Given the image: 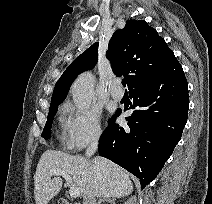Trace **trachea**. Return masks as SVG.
<instances>
[{"label":"trachea","instance_id":"1","mask_svg":"<svg viewBox=\"0 0 212 204\" xmlns=\"http://www.w3.org/2000/svg\"><path fill=\"white\" fill-rule=\"evenodd\" d=\"M126 84H127V79H123V80H122V85L125 87Z\"/></svg>","mask_w":212,"mask_h":204}]
</instances>
